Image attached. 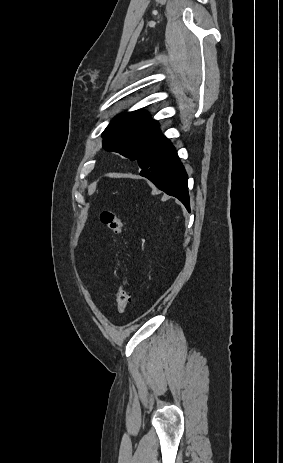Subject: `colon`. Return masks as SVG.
Wrapping results in <instances>:
<instances>
[{
  "instance_id": "obj_1",
  "label": "colon",
  "mask_w": 283,
  "mask_h": 463,
  "mask_svg": "<svg viewBox=\"0 0 283 463\" xmlns=\"http://www.w3.org/2000/svg\"><path fill=\"white\" fill-rule=\"evenodd\" d=\"M103 224L112 232L118 235L123 234V224L118 215L113 211H104L101 214ZM129 303V297L126 290V281L122 278L119 281L117 289V312L122 315L125 313Z\"/></svg>"
}]
</instances>
